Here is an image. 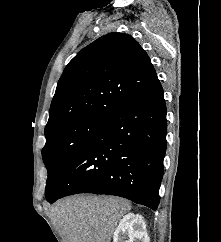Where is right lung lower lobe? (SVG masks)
I'll return each instance as SVG.
<instances>
[{"label":"right lung lower lobe","mask_w":221,"mask_h":242,"mask_svg":"<svg viewBox=\"0 0 221 242\" xmlns=\"http://www.w3.org/2000/svg\"><path fill=\"white\" fill-rule=\"evenodd\" d=\"M166 105L157 79L102 124L75 153L47 201L116 195L156 210L166 151Z\"/></svg>","instance_id":"98d812e1"}]
</instances>
